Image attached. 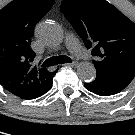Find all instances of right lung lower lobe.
Wrapping results in <instances>:
<instances>
[{
  "instance_id": "obj_1",
  "label": "right lung lower lobe",
  "mask_w": 135,
  "mask_h": 135,
  "mask_svg": "<svg viewBox=\"0 0 135 135\" xmlns=\"http://www.w3.org/2000/svg\"><path fill=\"white\" fill-rule=\"evenodd\" d=\"M51 86H52V82L47 87L43 88L42 90H40L36 93H33V94L22 96L20 98L27 99V100L38 98V97L44 95L47 91H49Z\"/></svg>"
}]
</instances>
